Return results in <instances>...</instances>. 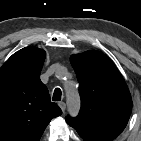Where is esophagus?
Masks as SVG:
<instances>
[{"label": "esophagus", "mask_w": 141, "mask_h": 141, "mask_svg": "<svg viewBox=\"0 0 141 141\" xmlns=\"http://www.w3.org/2000/svg\"><path fill=\"white\" fill-rule=\"evenodd\" d=\"M58 105L61 108L62 112L64 113L66 110V104L64 102H59Z\"/></svg>", "instance_id": "obj_1"}]
</instances>
